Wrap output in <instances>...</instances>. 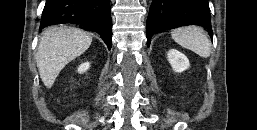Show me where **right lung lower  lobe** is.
<instances>
[{
	"mask_svg": "<svg viewBox=\"0 0 257 130\" xmlns=\"http://www.w3.org/2000/svg\"><path fill=\"white\" fill-rule=\"evenodd\" d=\"M75 24L96 32L108 46L112 45L110 0H46L40 30L51 25Z\"/></svg>",
	"mask_w": 257,
	"mask_h": 130,
	"instance_id": "obj_1",
	"label": "right lung lower lobe"
}]
</instances>
